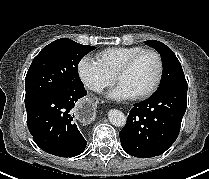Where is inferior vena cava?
<instances>
[{"label":"inferior vena cava","instance_id":"obj_1","mask_svg":"<svg viewBox=\"0 0 209 179\" xmlns=\"http://www.w3.org/2000/svg\"><path fill=\"white\" fill-rule=\"evenodd\" d=\"M93 89L98 91V92L102 90L101 87H94Z\"/></svg>","mask_w":209,"mask_h":179}]
</instances>
